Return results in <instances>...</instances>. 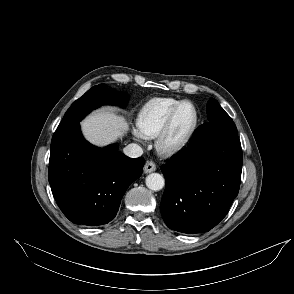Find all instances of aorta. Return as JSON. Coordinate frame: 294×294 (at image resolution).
<instances>
[{"label":"aorta","instance_id":"aorta-1","mask_svg":"<svg viewBox=\"0 0 294 294\" xmlns=\"http://www.w3.org/2000/svg\"><path fill=\"white\" fill-rule=\"evenodd\" d=\"M164 185V177L159 173H151L146 177V186L153 191L161 190Z\"/></svg>","mask_w":294,"mask_h":294}]
</instances>
